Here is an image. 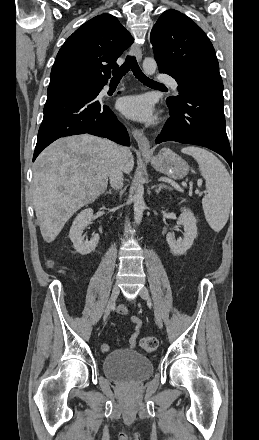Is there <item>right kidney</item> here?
Returning a JSON list of instances; mask_svg holds the SVG:
<instances>
[{
    "label": "right kidney",
    "instance_id": "obj_1",
    "mask_svg": "<svg viewBox=\"0 0 259 440\" xmlns=\"http://www.w3.org/2000/svg\"><path fill=\"white\" fill-rule=\"evenodd\" d=\"M92 219L93 210L91 208L84 209L76 216L70 228L69 238L73 243L74 249L81 255H87L94 251L100 239L98 234H93L90 241H84L82 237L83 230Z\"/></svg>",
    "mask_w": 259,
    "mask_h": 440
}]
</instances>
